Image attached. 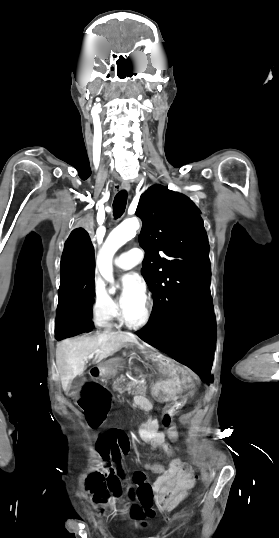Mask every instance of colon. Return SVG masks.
I'll return each mask as SVG.
<instances>
[{"label": "colon", "mask_w": 279, "mask_h": 538, "mask_svg": "<svg viewBox=\"0 0 279 538\" xmlns=\"http://www.w3.org/2000/svg\"><path fill=\"white\" fill-rule=\"evenodd\" d=\"M96 447L104 458L108 476L106 482L103 475H98L94 478L97 501L106 496L104 491L106 483L114 493H120L124 485L128 488L129 496L136 499L146 512H151L155 493L154 486L146 481V476L142 472L134 473L131 482H128L121 466V457L127 454L130 449L127 434L122 430H108L100 435ZM177 473L183 481H193L195 478L192 466L187 461L180 459ZM135 510L139 511L140 507L136 506Z\"/></svg>", "instance_id": "obj_1"}]
</instances>
